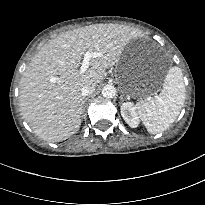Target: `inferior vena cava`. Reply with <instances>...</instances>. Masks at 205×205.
<instances>
[{
	"instance_id": "602c4592",
	"label": "inferior vena cava",
	"mask_w": 205,
	"mask_h": 205,
	"mask_svg": "<svg viewBox=\"0 0 205 205\" xmlns=\"http://www.w3.org/2000/svg\"><path fill=\"white\" fill-rule=\"evenodd\" d=\"M95 91V85L94 84H87L82 87L81 89V95L83 97L88 96L92 94Z\"/></svg>"
}]
</instances>
